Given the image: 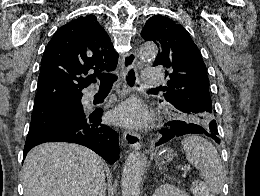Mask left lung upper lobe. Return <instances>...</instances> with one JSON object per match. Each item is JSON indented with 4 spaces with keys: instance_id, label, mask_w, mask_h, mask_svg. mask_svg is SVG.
<instances>
[{
    "instance_id": "left-lung-upper-lobe-1",
    "label": "left lung upper lobe",
    "mask_w": 260,
    "mask_h": 196,
    "mask_svg": "<svg viewBox=\"0 0 260 196\" xmlns=\"http://www.w3.org/2000/svg\"><path fill=\"white\" fill-rule=\"evenodd\" d=\"M141 36L159 48L154 66L165 67L170 77L167 92L161 97L171 104L180 119L177 121L208 127L215 121L209 80L200 51L188 32L172 19L154 15L146 21Z\"/></svg>"
}]
</instances>
